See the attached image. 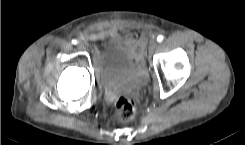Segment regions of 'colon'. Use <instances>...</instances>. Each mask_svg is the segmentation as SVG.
<instances>
[{"label": "colon", "instance_id": "obj_1", "mask_svg": "<svg viewBox=\"0 0 245 145\" xmlns=\"http://www.w3.org/2000/svg\"><path fill=\"white\" fill-rule=\"evenodd\" d=\"M137 102L124 94H118L114 102L115 116L120 121H127L134 117L137 110Z\"/></svg>", "mask_w": 245, "mask_h": 145}]
</instances>
